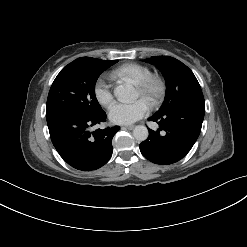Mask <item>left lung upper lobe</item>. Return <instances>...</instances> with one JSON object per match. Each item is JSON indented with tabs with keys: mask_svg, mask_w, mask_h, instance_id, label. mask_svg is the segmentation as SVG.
<instances>
[{
	"mask_svg": "<svg viewBox=\"0 0 247 247\" xmlns=\"http://www.w3.org/2000/svg\"><path fill=\"white\" fill-rule=\"evenodd\" d=\"M146 61L154 64L166 81L165 100L155 115H164L174 109L188 106L205 108L201 87L185 64L169 56H153Z\"/></svg>",
	"mask_w": 247,
	"mask_h": 247,
	"instance_id": "1",
	"label": "left lung upper lobe"
}]
</instances>
